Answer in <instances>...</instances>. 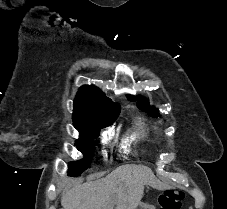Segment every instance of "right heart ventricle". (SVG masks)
I'll return each instance as SVG.
<instances>
[{
    "label": "right heart ventricle",
    "mask_w": 227,
    "mask_h": 209,
    "mask_svg": "<svg viewBox=\"0 0 227 209\" xmlns=\"http://www.w3.org/2000/svg\"><path fill=\"white\" fill-rule=\"evenodd\" d=\"M148 133L149 129L146 127L144 122L140 118H135L133 120L131 130L129 131L121 146L123 152L129 153L131 143L147 136Z\"/></svg>",
    "instance_id": "1"
}]
</instances>
